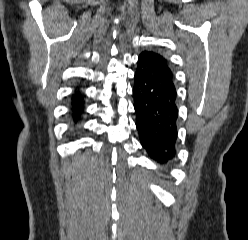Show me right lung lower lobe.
I'll return each mask as SVG.
<instances>
[{"label":"right lung lower lobe","mask_w":248,"mask_h":240,"mask_svg":"<svg viewBox=\"0 0 248 240\" xmlns=\"http://www.w3.org/2000/svg\"><path fill=\"white\" fill-rule=\"evenodd\" d=\"M84 113V95L76 88L71 100V116L73 121L77 123Z\"/></svg>","instance_id":"98d812e1"}]
</instances>
